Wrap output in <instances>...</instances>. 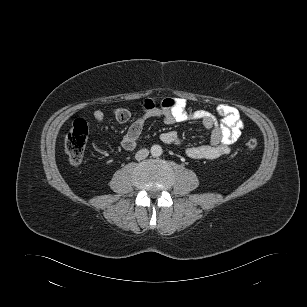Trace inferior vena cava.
Segmentation results:
<instances>
[{"label":"inferior vena cava","instance_id":"inferior-vena-cava-1","mask_svg":"<svg viewBox=\"0 0 307 307\" xmlns=\"http://www.w3.org/2000/svg\"><path fill=\"white\" fill-rule=\"evenodd\" d=\"M148 155L149 151L147 149H141L137 151V153L135 154V158L139 161L145 159Z\"/></svg>","mask_w":307,"mask_h":307}]
</instances>
